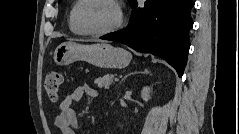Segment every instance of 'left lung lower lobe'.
I'll return each instance as SVG.
<instances>
[{"instance_id": "obj_1", "label": "left lung lower lobe", "mask_w": 239, "mask_h": 134, "mask_svg": "<svg viewBox=\"0 0 239 134\" xmlns=\"http://www.w3.org/2000/svg\"><path fill=\"white\" fill-rule=\"evenodd\" d=\"M128 26L101 39L120 42L142 52L166 60L183 75L190 47L188 32L193 26L190 11L192 0H146L143 7L137 1Z\"/></svg>"}]
</instances>
